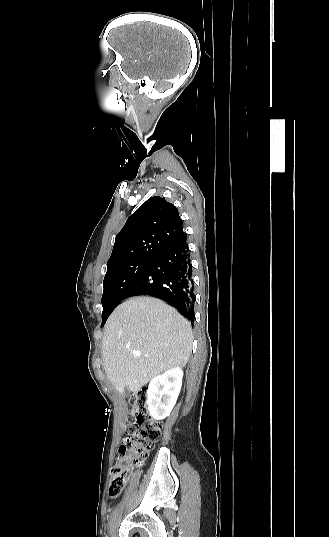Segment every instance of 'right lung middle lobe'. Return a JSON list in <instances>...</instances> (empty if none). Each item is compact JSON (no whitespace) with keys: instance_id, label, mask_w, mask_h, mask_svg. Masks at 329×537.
<instances>
[{"instance_id":"1","label":"right lung middle lobe","mask_w":329,"mask_h":537,"mask_svg":"<svg viewBox=\"0 0 329 537\" xmlns=\"http://www.w3.org/2000/svg\"><path fill=\"white\" fill-rule=\"evenodd\" d=\"M153 259H139L127 262L111 270H107L103 281L102 324L111 314L112 309L124 298L125 293L142 275Z\"/></svg>"}]
</instances>
